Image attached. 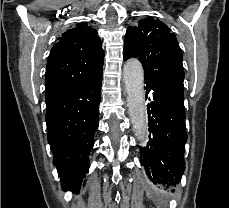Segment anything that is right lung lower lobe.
I'll list each match as a JSON object with an SVG mask.
<instances>
[{"instance_id":"1","label":"right lung lower lobe","mask_w":229,"mask_h":208,"mask_svg":"<svg viewBox=\"0 0 229 208\" xmlns=\"http://www.w3.org/2000/svg\"><path fill=\"white\" fill-rule=\"evenodd\" d=\"M102 69L46 101L48 142L64 190L78 192L98 128Z\"/></svg>"}]
</instances>
